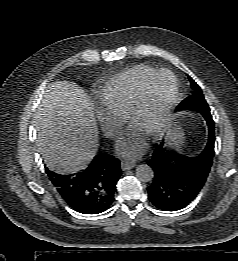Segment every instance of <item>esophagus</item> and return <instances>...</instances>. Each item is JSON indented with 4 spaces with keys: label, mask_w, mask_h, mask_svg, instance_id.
Returning a JSON list of instances; mask_svg holds the SVG:
<instances>
[{
    "label": "esophagus",
    "mask_w": 238,
    "mask_h": 261,
    "mask_svg": "<svg viewBox=\"0 0 238 261\" xmlns=\"http://www.w3.org/2000/svg\"><path fill=\"white\" fill-rule=\"evenodd\" d=\"M135 163L134 162H131V161H122L121 162V169L123 171L125 170H129V169H132L133 167H135Z\"/></svg>",
    "instance_id": "obj_1"
}]
</instances>
